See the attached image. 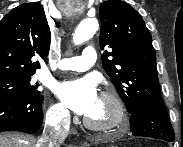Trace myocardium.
Wrapping results in <instances>:
<instances>
[{"mask_svg": "<svg viewBox=\"0 0 183 147\" xmlns=\"http://www.w3.org/2000/svg\"><path fill=\"white\" fill-rule=\"evenodd\" d=\"M100 98L108 101L113 107L115 117L109 123H98L88 118L86 115L83 119L85 126L93 131L106 132L123 127L128 120L127 108L123 100L112 91H103Z\"/></svg>", "mask_w": 183, "mask_h": 147, "instance_id": "1", "label": "myocardium"}]
</instances>
